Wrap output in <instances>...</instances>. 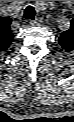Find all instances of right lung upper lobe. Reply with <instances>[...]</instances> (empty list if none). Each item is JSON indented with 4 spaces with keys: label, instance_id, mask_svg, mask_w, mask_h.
<instances>
[{
    "label": "right lung upper lobe",
    "instance_id": "1",
    "mask_svg": "<svg viewBox=\"0 0 74 122\" xmlns=\"http://www.w3.org/2000/svg\"><path fill=\"white\" fill-rule=\"evenodd\" d=\"M11 18H0V51H5L11 44L13 33L10 29Z\"/></svg>",
    "mask_w": 74,
    "mask_h": 122
}]
</instances>
